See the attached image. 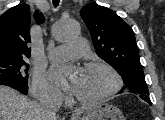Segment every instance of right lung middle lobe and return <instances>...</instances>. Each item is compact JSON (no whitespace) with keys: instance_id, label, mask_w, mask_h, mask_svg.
Here are the masks:
<instances>
[{"instance_id":"dd1d6c3e","label":"right lung middle lobe","mask_w":165,"mask_h":120,"mask_svg":"<svg viewBox=\"0 0 165 120\" xmlns=\"http://www.w3.org/2000/svg\"><path fill=\"white\" fill-rule=\"evenodd\" d=\"M28 69L26 58L0 59V83H13L28 87Z\"/></svg>"}]
</instances>
